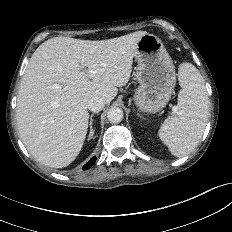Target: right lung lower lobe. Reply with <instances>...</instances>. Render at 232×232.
<instances>
[{"label":"right lung lower lobe","instance_id":"right-lung-lower-lobe-1","mask_svg":"<svg viewBox=\"0 0 232 232\" xmlns=\"http://www.w3.org/2000/svg\"><path fill=\"white\" fill-rule=\"evenodd\" d=\"M95 161H96V157L91 158V159L89 160V162L86 163V164L83 166L82 169H83V170L89 169V168L95 163Z\"/></svg>","mask_w":232,"mask_h":232}]
</instances>
